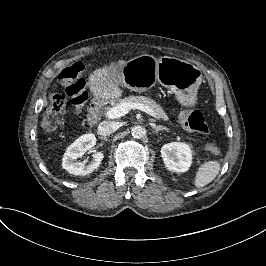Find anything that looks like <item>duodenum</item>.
I'll list each match as a JSON object with an SVG mask.
<instances>
[{"mask_svg": "<svg viewBox=\"0 0 266 266\" xmlns=\"http://www.w3.org/2000/svg\"><path fill=\"white\" fill-rule=\"evenodd\" d=\"M93 86L95 88L93 92V99L96 104H94L91 108L89 120L91 122H96L99 118V104H105L109 101L110 97L116 92V85L107 75L98 74L93 79Z\"/></svg>", "mask_w": 266, "mask_h": 266, "instance_id": "duodenum-1", "label": "duodenum"}]
</instances>
